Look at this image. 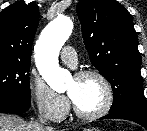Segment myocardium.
<instances>
[{
	"instance_id": "1",
	"label": "myocardium",
	"mask_w": 147,
	"mask_h": 131,
	"mask_svg": "<svg viewBox=\"0 0 147 131\" xmlns=\"http://www.w3.org/2000/svg\"><path fill=\"white\" fill-rule=\"evenodd\" d=\"M76 78L78 79L96 78L97 80H99L104 89L105 99H104L103 105L98 110L92 113H84L80 111L77 108L74 101L72 100V108L75 115L78 118L82 120H87V121L96 120L98 118L105 116L111 110L113 102H114V92H113V88L109 79L98 70L82 71L76 75Z\"/></svg>"
}]
</instances>
